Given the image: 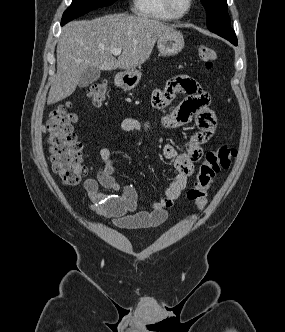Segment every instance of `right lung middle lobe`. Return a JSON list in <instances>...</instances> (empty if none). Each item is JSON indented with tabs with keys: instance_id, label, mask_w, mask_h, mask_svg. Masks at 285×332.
I'll list each match as a JSON object with an SVG mask.
<instances>
[{
	"instance_id": "right-lung-middle-lobe-1",
	"label": "right lung middle lobe",
	"mask_w": 285,
	"mask_h": 332,
	"mask_svg": "<svg viewBox=\"0 0 285 332\" xmlns=\"http://www.w3.org/2000/svg\"><path fill=\"white\" fill-rule=\"evenodd\" d=\"M115 0H73L71 6L64 12L61 25L83 14L113 4Z\"/></svg>"
}]
</instances>
